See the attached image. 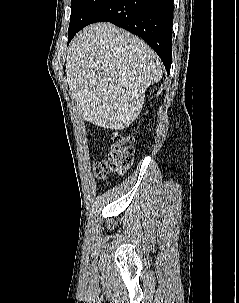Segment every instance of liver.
<instances>
[{
  "label": "liver",
  "mask_w": 239,
  "mask_h": 303,
  "mask_svg": "<svg viewBox=\"0 0 239 303\" xmlns=\"http://www.w3.org/2000/svg\"><path fill=\"white\" fill-rule=\"evenodd\" d=\"M66 75L79 114L96 126L121 130L138 117L146 89L162 78L163 64L139 37L96 23L71 42Z\"/></svg>",
  "instance_id": "obj_1"
}]
</instances>
